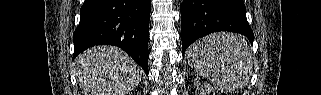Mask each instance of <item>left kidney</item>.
I'll list each match as a JSON object with an SVG mask.
<instances>
[{"label":"left kidney","instance_id":"5707ae66","mask_svg":"<svg viewBox=\"0 0 321 95\" xmlns=\"http://www.w3.org/2000/svg\"><path fill=\"white\" fill-rule=\"evenodd\" d=\"M203 93H202V95H205V92L204 91H202Z\"/></svg>","mask_w":321,"mask_h":95}]
</instances>
